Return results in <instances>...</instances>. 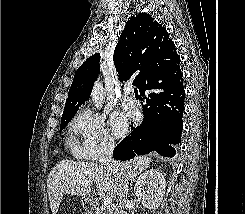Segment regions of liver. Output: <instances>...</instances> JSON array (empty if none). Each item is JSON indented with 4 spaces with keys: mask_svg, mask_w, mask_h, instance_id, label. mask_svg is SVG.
Returning <instances> with one entry per match:
<instances>
[{
    "mask_svg": "<svg viewBox=\"0 0 245 214\" xmlns=\"http://www.w3.org/2000/svg\"><path fill=\"white\" fill-rule=\"evenodd\" d=\"M151 158L135 157L119 163L120 170L113 171L94 162L61 160L50 171L47 179V191L50 208L57 214L64 194L86 197L91 192L93 183H96L100 196L117 199L118 188L123 179L135 181L146 168Z\"/></svg>",
    "mask_w": 245,
    "mask_h": 214,
    "instance_id": "liver-1",
    "label": "liver"
}]
</instances>
